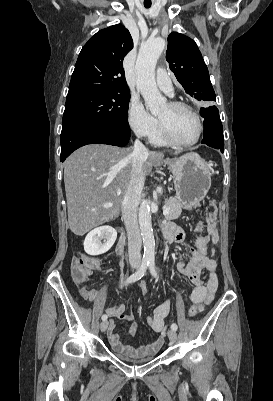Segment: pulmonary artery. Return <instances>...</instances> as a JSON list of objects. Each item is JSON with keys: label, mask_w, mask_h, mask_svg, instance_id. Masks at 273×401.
Returning <instances> with one entry per match:
<instances>
[{"label": "pulmonary artery", "mask_w": 273, "mask_h": 401, "mask_svg": "<svg viewBox=\"0 0 273 401\" xmlns=\"http://www.w3.org/2000/svg\"><path fill=\"white\" fill-rule=\"evenodd\" d=\"M159 81L157 87L162 89L168 96H174L173 82L170 80L169 71L167 68H159L157 71Z\"/></svg>", "instance_id": "pulmonary-artery-1"}]
</instances>
